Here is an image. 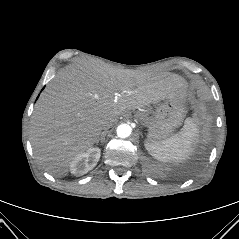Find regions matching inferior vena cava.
Instances as JSON below:
<instances>
[{
	"mask_svg": "<svg viewBox=\"0 0 239 239\" xmlns=\"http://www.w3.org/2000/svg\"><path fill=\"white\" fill-rule=\"evenodd\" d=\"M116 119H110V120H106L103 122L102 126L103 129L106 131L108 130L110 127H112V125L116 122Z\"/></svg>",
	"mask_w": 239,
	"mask_h": 239,
	"instance_id": "obj_1",
	"label": "inferior vena cava"
}]
</instances>
